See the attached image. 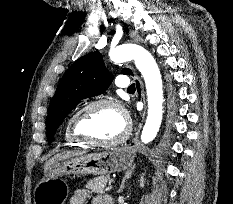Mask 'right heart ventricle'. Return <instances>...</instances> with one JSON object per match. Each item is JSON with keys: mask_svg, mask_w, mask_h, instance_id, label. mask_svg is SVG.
Masks as SVG:
<instances>
[{"mask_svg": "<svg viewBox=\"0 0 233 204\" xmlns=\"http://www.w3.org/2000/svg\"><path fill=\"white\" fill-rule=\"evenodd\" d=\"M70 121H71V118L68 120V122H67V124L65 126V131H64V141H65V143L70 147H85L86 144H84L83 142L75 139L73 137V135L71 134Z\"/></svg>", "mask_w": 233, "mask_h": 204, "instance_id": "e07e8e85", "label": "right heart ventricle"}]
</instances>
